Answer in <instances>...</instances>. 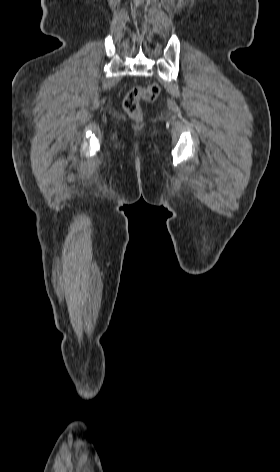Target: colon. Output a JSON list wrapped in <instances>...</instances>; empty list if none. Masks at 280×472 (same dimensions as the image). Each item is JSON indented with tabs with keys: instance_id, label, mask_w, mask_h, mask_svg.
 Instances as JSON below:
<instances>
[{
	"instance_id": "5ec220e1",
	"label": "colon",
	"mask_w": 280,
	"mask_h": 472,
	"mask_svg": "<svg viewBox=\"0 0 280 472\" xmlns=\"http://www.w3.org/2000/svg\"><path fill=\"white\" fill-rule=\"evenodd\" d=\"M160 94V87L157 84L148 86H137L130 89L124 97L123 107L127 114L134 119L142 117L140 103L144 101H153Z\"/></svg>"
}]
</instances>
